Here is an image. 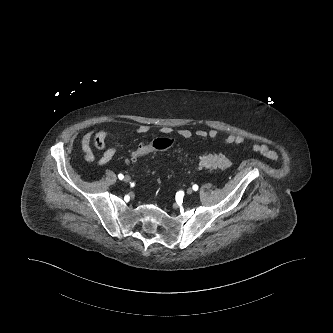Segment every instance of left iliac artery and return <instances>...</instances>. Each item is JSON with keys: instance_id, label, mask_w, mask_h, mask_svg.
<instances>
[{"instance_id": "left-iliac-artery-1", "label": "left iliac artery", "mask_w": 333, "mask_h": 333, "mask_svg": "<svg viewBox=\"0 0 333 333\" xmlns=\"http://www.w3.org/2000/svg\"><path fill=\"white\" fill-rule=\"evenodd\" d=\"M192 188H193L194 191H197V190H198V185L194 184V185L192 186Z\"/></svg>"}]
</instances>
